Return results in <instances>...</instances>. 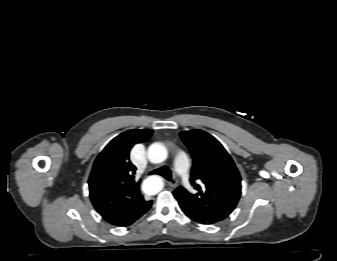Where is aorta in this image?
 <instances>
[{
  "label": "aorta",
  "instance_id": "1",
  "mask_svg": "<svg viewBox=\"0 0 337 261\" xmlns=\"http://www.w3.org/2000/svg\"><path fill=\"white\" fill-rule=\"evenodd\" d=\"M148 159L152 163H161L166 160L168 152L161 143H153L148 148ZM163 187V183L158 176H151L147 178L142 185V189L146 194L155 195Z\"/></svg>",
  "mask_w": 337,
  "mask_h": 261
}]
</instances>
